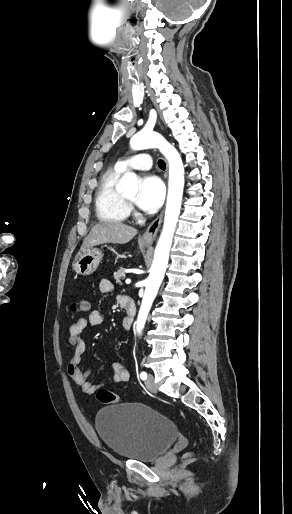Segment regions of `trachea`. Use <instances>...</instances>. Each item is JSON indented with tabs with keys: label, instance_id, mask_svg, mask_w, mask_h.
I'll return each instance as SVG.
<instances>
[{
	"label": "trachea",
	"instance_id": "obj_1",
	"mask_svg": "<svg viewBox=\"0 0 292 514\" xmlns=\"http://www.w3.org/2000/svg\"><path fill=\"white\" fill-rule=\"evenodd\" d=\"M158 166L162 170H165V168H166V164H165V162L163 160H159L158 161Z\"/></svg>",
	"mask_w": 292,
	"mask_h": 514
}]
</instances>
